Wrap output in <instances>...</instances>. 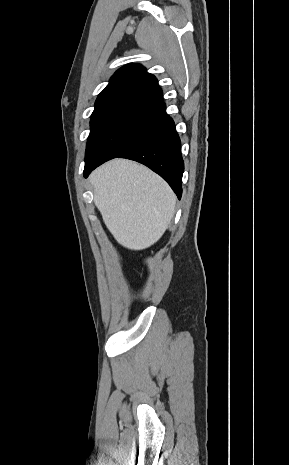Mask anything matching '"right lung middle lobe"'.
Segmentation results:
<instances>
[{
  "mask_svg": "<svg viewBox=\"0 0 289 465\" xmlns=\"http://www.w3.org/2000/svg\"><path fill=\"white\" fill-rule=\"evenodd\" d=\"M165 111L163 105L118 104L91 115L85 162L110 160L137 140Z\"/></svg>",
  "mask_w": 289,
  "mask_h": 465,
  "instance_id": "dd1d6c3e",
  "label": "right lung middle lobe"
}]
</instances>
